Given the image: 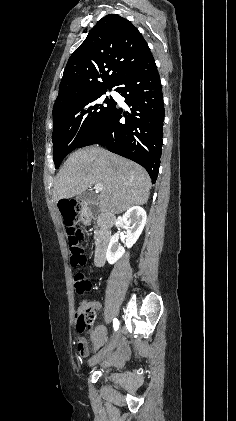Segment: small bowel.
<instances>
[{
  "label": "small bowel",
  "mask_w": 236,
  "mask_h": 421,
  "mask_svg": "<svg viewBox=\"0 0 236 421\" xmlns=\"http://www.w3.org/2000/svg\"><path fill=\"white\" fill-rule=\"evenodd\" d=\"M82 305H89V306H91V307H93V308H99L100 307V305H99V303H97V302H83L82 303ZM100 330H102V328L101 327H97L93 332H91V334H90V336H91V340H92V342L94 343V345L97 347V346H99V345H101L104 341H105V336L103 335V338H102V340L101 341H96V338H97V335H98V332L100 331ZM88 353V352H87ZM87 355V354H86ZM85 355V356H86ZM115 355H113L112 357H114Z\"/></svg>",
  "instance_id": "small-bowel-1"
}]
</instances>
